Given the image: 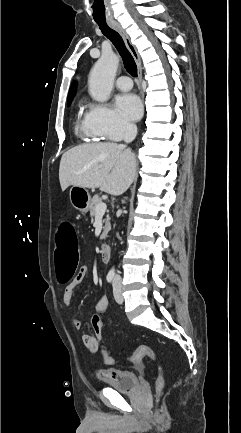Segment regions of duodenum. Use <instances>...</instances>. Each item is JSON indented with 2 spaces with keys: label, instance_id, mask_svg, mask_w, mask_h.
Masks as SVG:
<instances>
[{
  "label": "duodenum",
  "instance_id": "duodenum-1",
  "mask_svg": "<svg viewBox=\"0 0 241 433\" xmlns=\"http://www.w3.org/2000/svg\"><path fill=\"white\" fill-rule=\"evenodd\" d=\"M100 254L101 258L104 262H108L111 256V246L107 243H104L100 246Z\"/></svg>",
  "mask_w": 241,
  "mask_h": 433
}]
</instances>
